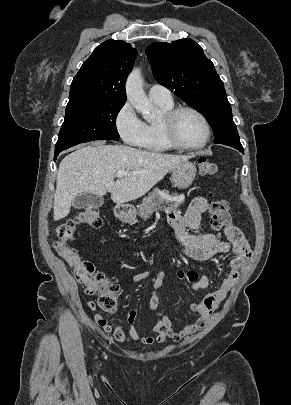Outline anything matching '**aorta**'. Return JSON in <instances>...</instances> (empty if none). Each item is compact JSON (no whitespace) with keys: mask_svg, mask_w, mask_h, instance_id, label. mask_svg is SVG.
Segmentation results:
<instances>
[{"mask_svg":"<svg viewBox=\"0 0 291 405\" xmlns=\"http://www.w3.org/2000/svg\"><path fill=\"white\" fill-rule=\"evenodd\" d=\"M126 95L130 104L147 121L156 116V109L143 90V79L139 68H134L126 81Z\"/></svg>","mask_w":291,"mask_h":405,"instance_id":"obj_1","label":"aorta"}]
</instances>
